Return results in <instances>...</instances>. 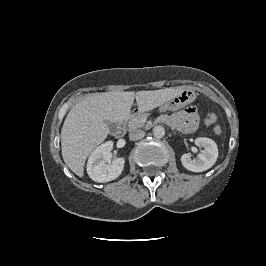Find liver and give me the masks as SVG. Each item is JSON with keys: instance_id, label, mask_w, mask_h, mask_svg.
Masks as SVG:
<instances>
[{"instance_id": "6515ba94", "label": "liver", "mask_w": 266, "mask_h": 266, "mask_svg": "<svg viewBox=\"0 0 266 266\" xmlns=\"http://www.w3.org/2000/svg\"><path fill=\"white\" fill-rule=\"evenodd\" d=\"M183 88L136 93L112 91L86 96L72 107L64 121L61 130L64 162L77 176L83 177L87 157L110 133L108 122L127 119L134 99L140 112L150 111L177 95Z\"/></svg>"}]
</instances>
